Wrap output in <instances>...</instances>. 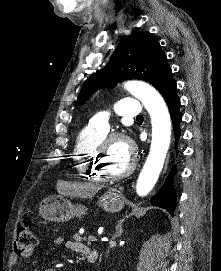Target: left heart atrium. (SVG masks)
<instances>
[{
	"instance_id": "39dd6f15",
	"label": "left heart atrium",
	"mask_w": 221,
	"mask_h": 271,
	"mask_svg": "<svg viewBox=\"0 0 221 271\" xmlns=\"http://www.w3.org/2000/svg\"><path fill=\"white\" fill-rule=\"evenodd\" d=\"M110 157H127V152H110Z\"/></svg>"
}]
</instances>
